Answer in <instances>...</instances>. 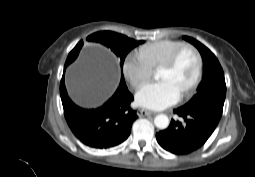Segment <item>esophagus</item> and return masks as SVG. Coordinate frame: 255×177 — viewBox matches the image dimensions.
<instances>
[{
	"mask_svg": "<svg viewBox=\"0 0 255 177\" xmlns=\"http://www.w3.org/2000/svg\"><path fill=\"white\" fill-rule=\"evenodd\" d=\"M153 114H155V112L147 110V109H143V108H139L138 111H137V115L139 117L149 116V115H153Z\"/></svg>",
	"mask_w": 255,
	"mask_h": 177,
	"instance_id": "34e87169",
	"label": "esophagus"
}]
</instances>
